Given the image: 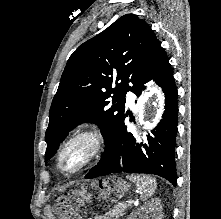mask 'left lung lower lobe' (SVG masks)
I'll list each match as a JSON object with an SVG mask.
<instances>
[{
	"label": "left lung lower lobe",
	"mask_w": 221,
	"mask_h": 219,
	"mask_svg": "<svg viewBox=\"0 0 221 219\" xmlns=\"http://www.w3.org/2000/svg\"><path fill=\"white\" fill-rule=\"evenodd\" d=\"M153 79L165 94V111L159 124L147 136V143H136L121 118L100 161L85 175L96 178L112 173H146L161 176L176 185L175 143L177 133V88L168 58L161 46L135 90L140 96L144 84Z\"/></svg>",
	"instance_id": "1"
}]
</instances>
